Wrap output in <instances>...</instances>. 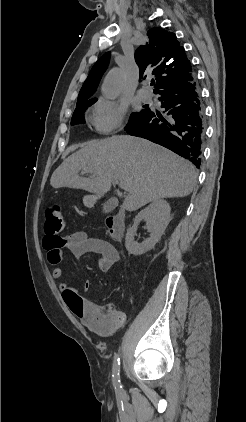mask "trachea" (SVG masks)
<instances>
[{
  "instance_id": "1",
  "label": "trachea",
  "mask_w": 246,
  "mask_h": 422,
  "mask_svg": "<svg viewBox=\"0 0 246 422\" xmlns=\"http://www.w3.org/2000/svg\"><path fill=\"white\" fill-rule=\"evenodd\" d=\"M155 84V82L154 81H151V86H153Z\"/></svg>"
}]
</instances>
